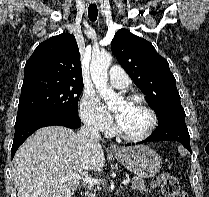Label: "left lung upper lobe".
<instances>
[{
    "instance_id": "5c2ea615",
    "label": "left lung upper lobe",
    "mask_w": 209,
    "mask_h": 197,
    "mask_svg": "<svg viewBox=\"0 0 209 197\" xmlns=\"http://www.w3.org/2000/svg\"><path fill=\"white\" fill-rule=\"evenodd\" d=\"M111 50L134 81L148 97V104L158 122L168 116L185 114L176 88V80L165 58L145 39L120 29L111 42Z\"/></svg>"
}]
</instances>
